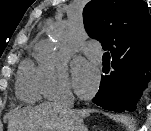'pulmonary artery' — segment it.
<instances>
[{
  "mask_svg": "<svg viewBox=\"0 0 151 131\" xmlns=\"http://www.w3.org/2000/svg\"><path fill=\"white\" fill-rule=\"evenodd\" d=\"M84 49L88 55H90L92 58H94L98 62L102 63V53L98 48L94 47L93 45L89 43L85 45Z\"/></svg>",
  "mask_w": 151,
  "mask_h": 131,
  "instance_id": "e3ab8cb5",
  "label": "pulmonary artery"
}]
</instances>
